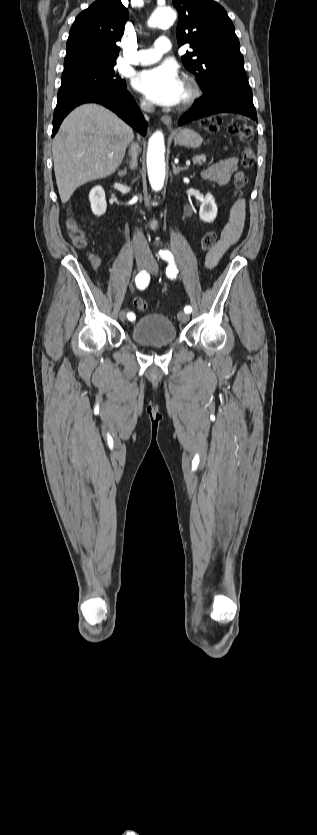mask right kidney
Segmentation results:
<instances>
[{"mask_svg":"<svg viewBox=\"0 0 317 835\" xmlns=\"http://www.w3.org/2000/svg\"><path fill=\"white\" fill-rule=\"evenodd\" d=\"M92 212L101 216L106 212L107 203L105 199V192L101 186H95L91 189L89 194Z\"/></svg>","mask_w":317,"mask_h":835,"instance_id":"1","label":"right kidney"}]
</instances>
